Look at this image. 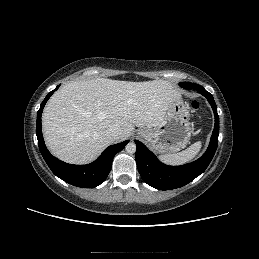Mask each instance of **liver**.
<instances>
[{
	"instance_id": "obj_1",
	"label": "liver",
	"mask_w": 259,
	"mask_h": 259,
	"mask_svg": "<svg viewBox=\"0 0 259 259\" xmlns=\"http://www.w3.org/2000/svg\"><path fill=\"white\" fill-rule=\"evenodd\" d=\"M179 97L174 85L165 80L69 82L52 95L43 111L46 145L65 162L89 163L113 143L105 135L108 128L118 127L115 142L124 141L135 126H158L171 102Z\"/></svg>"
}]
</instances>
